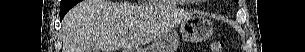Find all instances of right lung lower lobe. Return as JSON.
I'll use <instances>...</instances> for the list:
<instances>
[{"mask_svg": "<svg viewBox=\"0 0 305 52\" xmlns=\"http://www.w3.org/2000/svg\"><path fill=\"white\" fill-rule=\"evenodd\" d=\"M78 2L72 0H61L60 4V20L63 19L64 15Z\"/></svg>", "mask_w": 305, "mask_h": 52, "instance_id": "1", "label": "right lung lower lobe"}]
</instances>
